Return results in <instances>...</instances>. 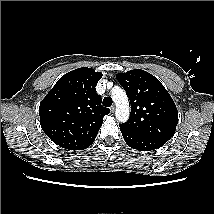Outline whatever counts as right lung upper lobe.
<instances>
[{
  "instance_id": "1",
  "label": "right lung upper lobe",
  "mask_w": 214,
  "mask_h": 214,
  "mask_svg": "<svg viewBox=\"0 0 214 214\" xmlns=\"http://www.w3.org/2000/svg\"><path fill=\"white\" fill-rule=\"evenodd\" d=\"M102 73L82 67L63 75L39 106L46 135L68 150H83L95 140L110 110L101 105L95 87Z\"/></svg>"
}]
</instances>
